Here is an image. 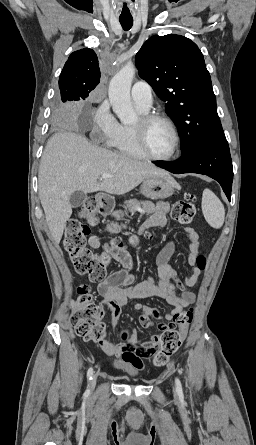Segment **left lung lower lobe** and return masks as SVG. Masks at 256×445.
I'll list each match as a JSON object with an SVG mask.
<instances>
[{
	"label": "left lung lower lobe",
	"instance_id": "obj_1",
	"mask_svg": "<svg viewBox=\"0 0 256 445\" xmlns=\"http://www.w3.org/2000/svg\"><path fill=\"white\" fill-rule=\"evenodd\" d=\"M156 166L175 174L199 173L212 177L220 183L227 198H231L233 167L226 139L199 143L182 154L177 161H153Z\"/></svg>",
	"mask_w": 256,
	"mask_h": 445
}]
</instances>
